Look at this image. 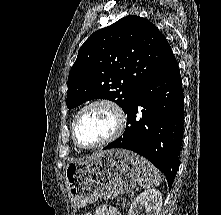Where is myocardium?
I'll use <instances>...</instances> for the list:
<instances>
[{
  "label": "myocardium",
  "instance_id": "obj_1",
  "mask_svg": "<svg viewBox=\"0 0 221 215\" xmlns=\"http://www.w3.org/2000/svg\"><path fill=\"white\" fill-rule=\"evenodd\" d=\"M98 105L106 106L112 110V112L115 116V119H116V126H115V129L112 132V134L110 136H108L106 139H104L103 141H101L97 144L86 146V145L81 144L80 141L78 140L77 133H76V126H77L80 116L82 115V113L85 110H87L93 106H98ZM125 127H126V116H125V113H124L123 109L121 108V106L116 101H114L112 99L97 98V99L87 102L77 111V113L73 119L72 127H71L72 139L77 147L84 149V150H93V149H97V148H101L103 146H106V145L112 143L113 141H115L117 138H119L121 136Z\"/></svg>",
  "mask_w": 221,
  "mask_h": 215
}]
</instances>
